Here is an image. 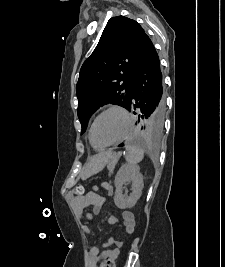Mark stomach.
<instances>
[{"label": "stomach", "instance_id": "obj_1", "mask_svg": "<svg viewBox=\"0 0 225 267\" xmlns=\"http://www.w3.org/2000/svg\"><path fill=\"white\" fill-rule=\"evenodd\" d=\"M116 159L110 153H102L94 157L87 167V174L92 175L101 171L111 160Z\"/></svg>", "mask_w": 225, "mask_h": 267}]
</instances>
